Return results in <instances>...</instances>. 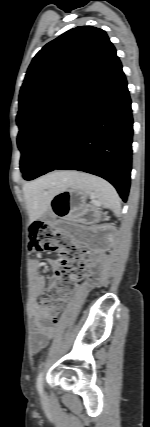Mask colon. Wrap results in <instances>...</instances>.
I'll return each mask as SVG.
<instances>
[{
	"label": "colon",
	"instance_id": "5ec220e1",
	"mask_svg": "<svg viewBox=\"0 0 150 427\" xmlns=\"http://www.w3.org/2000/svg\"><path fill=\"white\" fill-rule=\"evenodd\" d=\"M29 250L32 253L58 251L63 260L55 272V279L49 295L41 302V307L56 320L63 303L69 298L77 282L83 277L87 264L86 249L70 241L67 234L52 230L43 222H34L29 231Z\"/></svg>",
	"mask_w": 150,
	"mask_h": 427
}]
</instances>
